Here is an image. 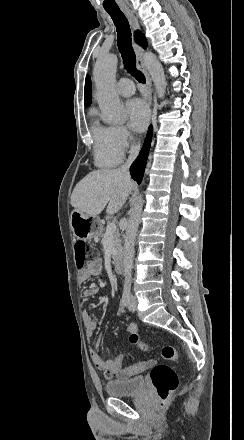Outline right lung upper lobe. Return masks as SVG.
I'll return each instance as SVG.
<instances>
[{
    "label": "right lung upper lobe",
    "instance_id": "obj_1",
    "mask_svg": "<svg viewBox=\"0 0 244 440\" xmlns=\"http://www.w3.org/2000/svg\"><path fill=\"white\" fill-rule=\"evenodd\" d=\"M134 37H135V41L140 46H142L143 48L147 47V40L144 34H142V32L137 30L134 34ZM84 102H85V106H87L91 102V78L89 75L86 76V80H85Z\"/></svg>",
    "mask_w": 244,
    "mask_h": 440
}]
</instances>
